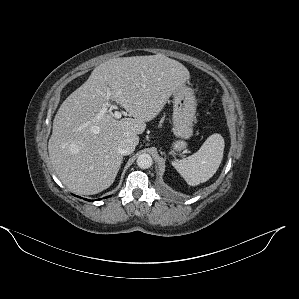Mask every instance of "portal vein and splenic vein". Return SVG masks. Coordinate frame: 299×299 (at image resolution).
I'll use <instances>...</instances> for the list:
<instances>
[{"mask_svg":"<svg viewBox=\"0 0 299 299\" xmlns=\"http://www.w3.org/2000/svg\"><path fill=\"white\" fill-rule=\"evenodd\" d=\"M105 111H106V108H104V109L101 111L100 115H103ZM113 116H114L116 119H120L121 116H122V114H121V112H119V111H115L114 114H113Z\"/></svg>","mask_w":299,"mask_h":299,"instance_id":"portal-vein-and-splenic-vein-1","label":"portal vein and splenic vein"}]
</instances>
